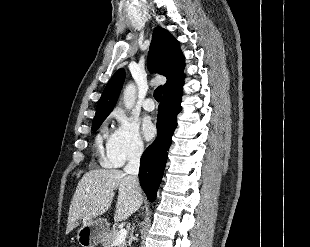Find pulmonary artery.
Here are the masks:
<instances>
[{"label":"pulmonary artery","mask_w":310,"mask_h":247,"mask_svg":"<svg viewBox=\"0 0 310 247\" xmlns=\"http://www.w3.org/2000/svg\"><path fill=\"white\" fill-rule=\"evenodd\" d=\"M143 108L146 111H153L155 109V103H154L153 99H151V98L145 99L143 102Z\"/></svg>","instance_id":"pulmonary-artery-1"}]
</instances>
